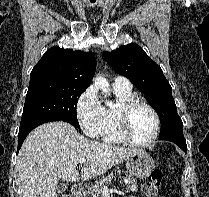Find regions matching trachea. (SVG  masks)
Here are the masks:
<instances>
[{
	"label": "trachea",
	"mask_w": 209,
	"mask_h": 197,
	"mask_svg": "<svg viewBox=\"0 0 209 197\" xmlns=\"http://www.w3.org/2000/svg\"><path fill=\"white\" fill-rule=\"evenodd\" d=\"M96 0H91V2H95Z\"/></svg>",
	"instance_id": "3493384b"
}]
</instances>
